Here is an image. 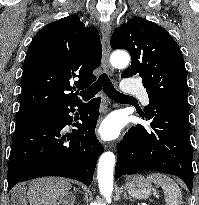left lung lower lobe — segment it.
Listing matches in <instances>:
<instances>
[{
    "instance_id": "left-lung-lower-lobe-1",
    "label": "left lung lower lobe",
    "mask_w": 199,
    "mask_h": 205,
    "mask_svg": "<svg viewBox=\"0 0 199 205\" xmlns=\"http://www.w3.org/2000/svg\"><path fill=\"white\" fill-rule=\"evenodd\" d=\"M145 114L150 126L131 127L118 145L115 180L125 174L154 170L180 177L192 193L189 111L150 101Z\"/></svg>"
}]
</instances>
